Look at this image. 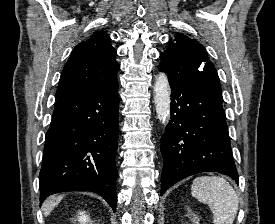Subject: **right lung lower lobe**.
Wrapping results in <instances>:
<instances>
[{
	"label": "right lung lower lobe",
	"instance_id": "obj_1",
	"mask_svg": "<svg viewBox=\"0 0 275 224\" xmlns=\"http://www.w3.org/2000/svg\"><path fill=\"white\" fill-rule=\"evenodd\" d=\"M118 82L55 102L39 175L40 203L63 191L99 193L117 206Z\"/></svg>",
	"mask_w": 275,
	"mask_h": 224
}]
</instances>
